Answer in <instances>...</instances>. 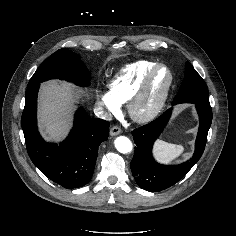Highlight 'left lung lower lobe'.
I'll return each instance as SVG.
<instances>
[{"label":"left lung lower lobe","instance_id":"left-lung-lower-lobe-1","mask_svg":"<svg viewBox=\"0 0 236 236\" xmlns=\"http://www.w3.org/2000/svg\"><path fill=\"white\" fill-rule=\"evenodd\" d=\"M176 104L178 103H172ZM195 105L200 119L195 152L192 158L182 164L165 166L158 164L152 157L154 141L166 126L172 109L132 132L136 147L130 167L135 181L142 189L159 192L171 187L181 180L202 156L212 122V110L211 106Z\"/></svg>","mask_w":236,"mask_h":236}]
</instances>
